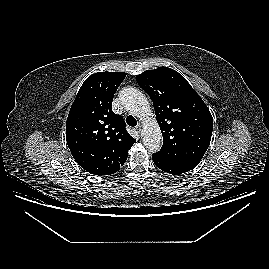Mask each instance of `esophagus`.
<instances>
[{
  "label": "esophagus",
  "mask_w": 269,
  "mask_h": 269,
  "mask_svg": "<svg viewBox=\"0 0 269 269\" xmlns=\"http://www.w3.org/2000/svg\"><path fill=\"white\" fill-rule=\"evenodd\" d=\"M141 129H142V125H141V124H138V125L136 126V130H137V132H140Z\"/></svg>",
  "instance_id": "obj_1"
}]
</instances>
